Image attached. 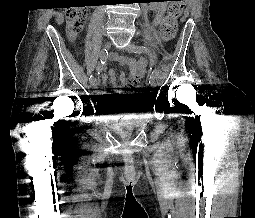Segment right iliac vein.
Segmentation results:
<instances>
[{"label": "right iliac vein", "instance_id": "right-iliac-vein-1", "mask_svg": "<svg viewBox=\"0 0 255 218\" xmlns=\"http://www.w3.org/2000/svg\"><path fill=\"white\" fill-rule=\"evenodd\" d=\"M110 47H111V42L110 41H107L106 43H105V45H104V50H109L110 49ZM103 58V55H102V53H101V56H100V59H102ZM90 84H91V87L93 88V89H96L97 87H98V81L96 80V79H94L92 82H90Z\"/></svg>", "mask_w": 255, "mask_h": 218}]
</instances>
